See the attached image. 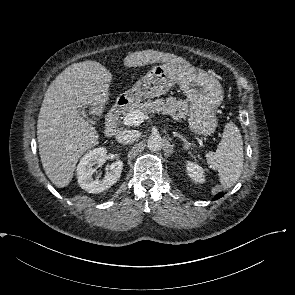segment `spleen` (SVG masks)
I'll list each match as a JSON object with an SVG mask.
<instances>
[{"mask_svg": "<svg viewBox=\"0 0 295 295\" xmlns=\"http://www.w3.org/2000/svg\"><path fill=\"white\" fill-rule=\"evenodd\" d=\"M210 168L217 170L223 188H230L239 179L244 163L243 140L238 127L227 123L215 152L206 154Z\"/></svg>", "mask_w": 295, "mask_h": 295, "instance_id": "1", "label": "spleen"}]
</instances>
